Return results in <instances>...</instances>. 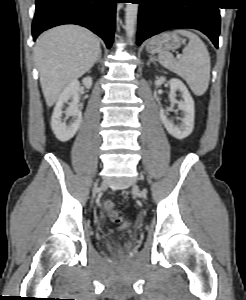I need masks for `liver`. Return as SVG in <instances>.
Listing matches in <instances>:
<instances>
[{
	"label": "liver",
	"instance_id": "obj_1",
	"mask_svg": "<svg viewBox=\"0 0 246 300\" xmlns=\"http://www.w3.org/2000/svg\"><path fill=\"white\" fill-rule=\"evenodd\" d=\"M100 51L98 37L77 25L52 28L37 39L34 58L49 107L68 83L92 68Z\"/></svg>",
	"mask_w": 246,
	"mask_h": 300
}]
</instances>
